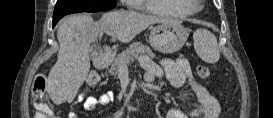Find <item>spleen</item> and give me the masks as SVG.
Here are the masks:
<instances>
[{"instance_id": "obj_1", "label": "spleen", "mask_w": 273, "mask_h": 118, "mask_svg": "<svg viewBox=\"0 0 273 118\" xmlns=\"http://www.w3.org/2000/svg\"><path fill=\"white\" fill-rule=\"evenodd\" d=\"M194 48L198 56L206 63H216L220 58L217 38L206 29H198L193 34Z\"/></svg>"}]
</instances>
